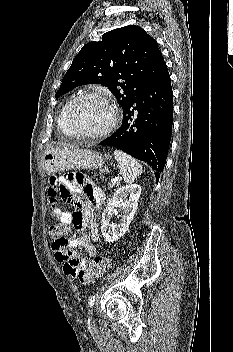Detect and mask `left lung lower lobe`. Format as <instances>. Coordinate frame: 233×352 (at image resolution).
<instances>
[{"label":"left lung lower lobe","instance_id":"1","mask_svg":"<svg viewBox=\"0 0 233 352\" xmlns=\"http://www.w3.org/2000/svg\"><path fill=\"white\" fill-rule=\"evenodd\" d=\"M173 123L170 75L165 70L123 108L121 127L99 145L114 146L145 161L156 180L166 163Z\"/></svg>","mask_w":233,"mask_h":352}]
</instances>
